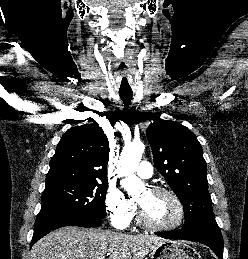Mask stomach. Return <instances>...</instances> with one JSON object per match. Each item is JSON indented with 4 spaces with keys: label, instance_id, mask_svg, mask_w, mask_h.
Instances as JSON below:
<instances>
[{
    "label": "stomach",
    "instance_id": "obj_1",
    "mask_svg": "<svg viewBox=\"0 0 248 259\" xmlns=\"http://www.w3.org/2000/svg\"><path fill=\"white\" fill-rule=\"evenodd\" d=\"M151 259H201L190 245L180 241H167L151 252Z\"/></svg>",
    "mask_w": 248,
    "mask_h": 259
}]
</instances>
